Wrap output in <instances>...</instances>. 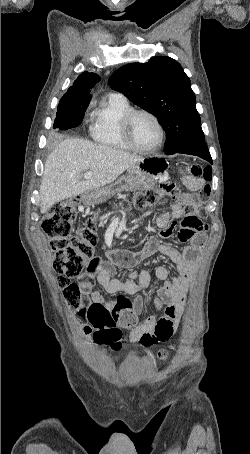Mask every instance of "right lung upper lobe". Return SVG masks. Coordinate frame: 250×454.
Instances as JSON below:
<instances>
[{
    "label": "right lung upper lobe",
    "instance_id": "right-lung-upper-lobe-1",
    "mask_svg": "<svg viewBox=\"0 0 250 454\" xmlns=\"http://www.w3.org/2000/svg\"><path fill=\"white\" fill-rule=\"evenodd\" d=\"M100 81V76L95 73L83 72L74 82L59 103L90 102V89Z\"/></svg>",
    "mask_w": 250,
    "mask_h": 454
}]
</instances>
